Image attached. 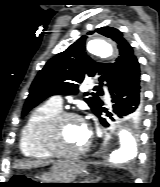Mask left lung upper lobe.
Wrapping results in <instances>:
<instances>
[{
	"label": "left lung upper lobe",
	"mask_w": 160,
	"mask_h": 187,
	"mask_svg": "<svg viewBox=\"0 0 160 187\" xmlns=\"http://www.w3.org/2000/svg\"><path fill=\"white\" fill-rule=\"evenodd\" d=\"M99 34L112 39L119 49V57L114 63H98L90 59L84 52L85 39L83 36L72 44L64 52L50 59L44 68L39 71L33 81L29 96L26 99L22 116H25L33 107L52 95H75L78 93V84L85 77H99L100 86L95 87L96 93L84 99L94 114H97L102 106L99 95H103L102 85L106 82L110 88L126 72L130 62L135 58L132 47L123 38L122 33L112 27H101L96 30ZM89 32L88 34H92ZM89 95V93H84ZM126 123L133 131H137L140 125L130 119Z\"/></svg>",
	"instance_id": "left-lung-upper-lobe-1"
}]
</instances>
